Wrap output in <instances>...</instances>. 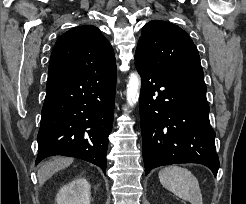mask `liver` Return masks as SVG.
Masks as SVG:
<instances>
[{
	"instance_id": "obj_1",
	"label": "liver",
	"mask_w": 246,
	"mask_h": 204,
	"mask_svg": "<svg viewBox=\"0 0 246 204\" xmlns=\"http://www.w3.org/2000/svg\"><path fill=\"white\" fill-rule=\"evenodd\" d=\"M73 163V158L69 157H57L51 161H46L43 163L37 173L38 182L40 186H43L44 183L52 177L57 171L68 167Z\"/></svg>"
}]
</instances>
